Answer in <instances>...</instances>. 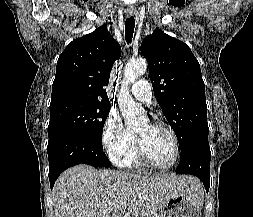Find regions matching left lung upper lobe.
Masks as SVG:
<instances>
[{
    "label": "left lung upper lobe",
    "instance_id": "left-lung-upper-lobe-1",
    "mask_svg": "<svg viewBox=\"0 0 253 217\" xmlns=\"http://www.w3.org/2000/svg\"><path fill=\"white\" fill-rule=\"evenodd\" d=\"M140 49L148 61L155 97L180 148L193 137L208 138L205 84L188 45L156 28Z\"/></svg>",
    "mask_w": 253,
    "mask_h": 217
}]
</instances>
